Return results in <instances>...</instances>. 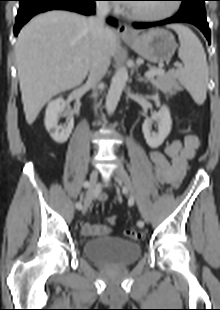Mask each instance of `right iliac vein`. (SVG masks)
I'll return each instance as SVG.
<instances>
[{"label":"right iliac vein","mask_w":220,"mask_h":310,"mask_svg":"<svg viewBox=\"0 0 220 310\" xmlns=\"http://www.w3.org/2000/svg\"><path fill=\"white\" fill-rule=\"evenodd\" d=\"M98 180V171L94 170L90 175L89 186L86 191L84 206L82 208V213L85 214L92 202V199L95 195L96 183Z\"/></svg>","instance_id":"right-iliac-vein-1"}]
</instances>
